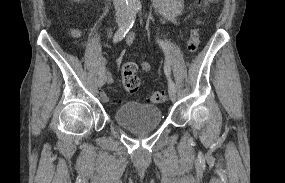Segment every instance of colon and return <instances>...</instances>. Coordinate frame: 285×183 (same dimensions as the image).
Listing matches in <instances>:
<instances>
[{"label":"colon","instance_id":"5ec220e1","mask_svg":"<svg viewBox=\"0 0 285 183\" xmlns=\"http://www.w3.org/2000/svg\"><path fill=\"white\" fill-rule=\"evenodd\" d=\"M211 0H198L199 4L205 5ZM77 34V32H76ZM199 46V34L193 26L190 30L189 37L186 41V48L189 53H195ZM137 64L132 61H127L122 65V85L129 93H136L140 87V79L137 76ZM152 103H163L167 101L168 96L164 91H153L148 97Z\"/></svg>","mask_w":285,"mask_h":183}]
</instances>
